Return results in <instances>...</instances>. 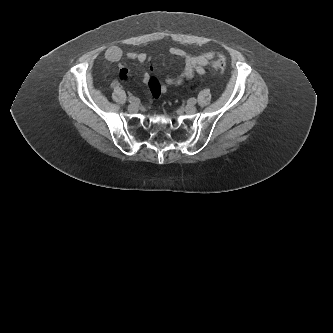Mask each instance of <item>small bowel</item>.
Masks as SVG:
<instances>
[{
  "mask_svg": "<svg viewBox=\"0 0 333 333\" xmlns=\"http://www.w3.org/2000/svg\"><path fill=\"white\" fill-rule=\"evenodd\" d=\"M171 55L182 58L184 61V68L180 75L177 77H167L164 82H159L158 79L152 74V66L148 64V57L145 53L139 52H127L126 57L130 60L137 61L144 66L142 71V81L148 85V99L149 101L155 99L160 94H164L168 91L170 86H180L186 81L191 80L195 74L204 75L205 67L215 56V52L209 51L199 55H193L181 48L172 47L170 49ZM124 53L119 46H110L105 50L104 57L109 62H118L122 59ZM119 77L124 80V85L129 89L136 87V82L128 77V69L124 66L119 67ZM113 89L120 87V81L114 80L111 84Z\"/></svg>",
  "mask_w": 333,
  "mask_h": 333,
  "instance_id": "c3829d8e",
  "label": "small bowel"
}]
</instances>
